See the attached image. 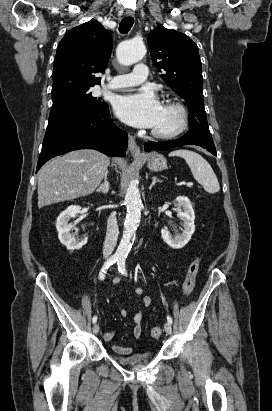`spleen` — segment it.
Segmentation results:
<instances>
[{"label":"spleen","instance_id":"obj_1","mask_svg":"<svg viewBox=\"0 0 272 411\" xmlns=\"http://www.w3.org/2000/svg\"><path fill=\"white\" fill-rule=\"evenodd\" d=\"M169 156L184 158L193 177L204 187L206 192L210 194L219 192L218 179L210 164L200 154L191 150L179 149L170 152Z\"/></svg>","mask_w":272,"mask_h":411}]
</instances>
